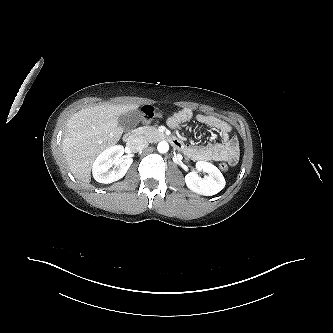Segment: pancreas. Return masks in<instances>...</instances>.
<instances>
[{
    "mask_svg": "<svg viewBox=\"0 0 333 333\" xmlns=\"http://www.w3.org/2000/svg\"><path fill=\"white\" fill-rule=\"evenodd\" d=\"M135 134L148 141L153 140L157 135H159L158 130L154 126H144L135 130Z\"/></svg>",
    "mask_w": 333,
    "mask_h": 333,
    "instance_id": "1",
    "label": "pancreas"
}]
</instances>
